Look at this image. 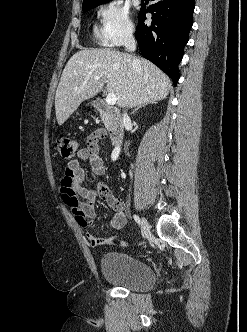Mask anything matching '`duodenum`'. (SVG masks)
I'll return each instance as SVG.
<instances>
[{
  "instance_id": "1",
  "label": "duodenum",
  "mask_w": 247,
  "mask_h": 332,
  "mask_svg": "<svg viewBox=\"0 0 247 332\" xmlns=\"http://www.w3.org/2000/svg\"><path fill=\"white\" fill-rule=\"evenodd\" d=\"M93 106L107 121L112 144L114 146L119 145L123 138L124 129L118 111L107 105L103 100H96Z\"/></svg>"
}]
</instances>
